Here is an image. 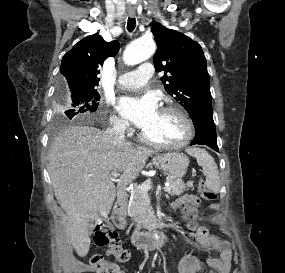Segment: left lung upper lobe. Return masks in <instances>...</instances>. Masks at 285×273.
Segmentation results:
<instances>
[{
	"label": "left lung upper lobe",
	"instance_id": "5c2ea615",
	"mask_svg": "<svg viewBox=\"0 0 285 273\" xmlns=\"http://www.w3.org/2000/svg\"><path fill=\"white\" fill-rule=\"evenodd\" d=\"M157 51L154 65L157 72L165 70L161 81L168 94L189 112H212L210 77L201 46L184 34L153 21ZM168 73V75H166Z\"/></svg>",
	"mask_w": 285,
	"mask_h": 273
}]
</instances>
